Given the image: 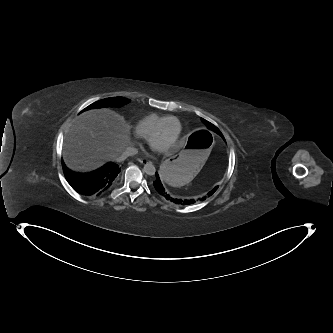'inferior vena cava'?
<instances>
[{"mask_svg": "<svg viewBox=\"0 0 333 333\" xmlns=\"http://www.w3.org/2000/svg\"><path fill=\"white\" fill-rule=\"evenodd\" d=\"M138 150L135 147H127L117 158L116 161H124L127 157L136 155Z\"/></svg>", "mask_w": 333, "mask_h": 333, "instance_id": "obj_1", "label": "inferior vena cava"}]
</instances>
